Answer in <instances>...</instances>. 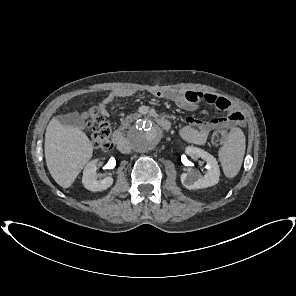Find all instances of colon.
<instances>
[{
    "mask_svg": "<svg viewBox=\"0 0 296 296\" xmlns=\"http://www.w3.org/2000/svg\"><path fill=\"white\" fill-rule=\"evenodd\" d=\"M82 117L86 120L92 130V144L101 151H109L112 148L111 127L106 121L104 114L96 108L91 107L85 111ZM228 132L224 129L216 130L212 135V143L221 145L226 142Z\"/></svg>",
    "mask_w": 296,
    "mask_h": 296,
    "instance_id": "1",
    "label": "colon"
}]
</instances>
